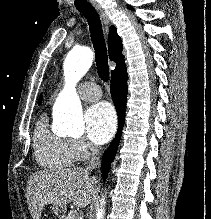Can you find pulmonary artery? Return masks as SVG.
I'll return each mask as SVG.
<instances>
[{
	"mask_svg": "<svg viewBox=\"0 0 211 219\" xmlns=\"http://www.w3.org/2000/svg\"><path fill=\"white\" fill-rule=\"evenodd\" d=\"M80 96L86 101H96L101 98L102 91L97 84L84 82L81 84Z\"/></svg>",
	"mask_w": 211,
	"mask_h": 219,
	"instance_id": "1",
	"label": "pulmonary artery"
}]
</instances>
